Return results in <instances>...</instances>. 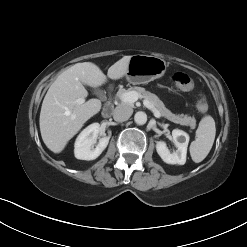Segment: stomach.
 Wrapping results in <instances>:
<instances>
[{"mask_svg":"<svg viewBox=\"0 0 247 247\" xmlns=\"http://www.w3.org/2000/svg\"><path fill=\"white\" fill-rule=\"evenodd\" d=\"M167 69L166 61L158 56L137 54L130 58L126 79L133 85L147 84L161 78Z\"/></svg>","mask_w":247,"mask_h":247,"instance_id":"obj_1","label":"stomach"}]
</instances>
